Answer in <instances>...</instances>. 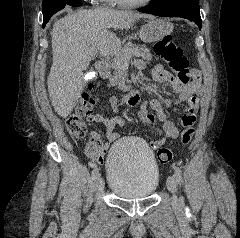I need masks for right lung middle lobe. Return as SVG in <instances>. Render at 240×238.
I'll use <instances>...</instances> for the list:
<instances>
[{"label": "right lung middle lobe", "instance_id": "dd1d6c3e", "mask_svg": "<svg viewBox=\"0 0 240 238\" xmlns=\"http://www.w3.org/2000/svg\"><path fill=\"white\" fill-rule=\"evenodd\" d=\"M80 2V0H43L42 12H43V26L49 21L50 17L63 9L66 5H72Z\"/></svg>", "mask_w": 240, "mask_h": 238}]
</instances>
